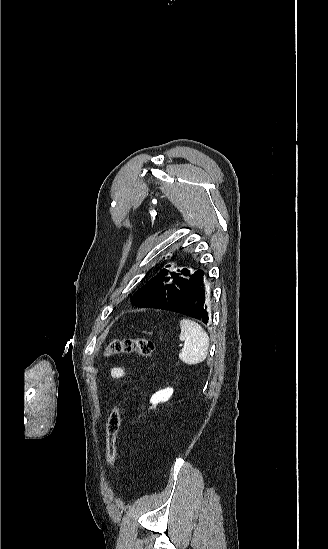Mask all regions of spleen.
I'll use <instances>...</instances> for the list:
<instances>
[{
  "mask_svg": "<svg viewBox=\"0 0 328 549\" xmlns=\"http://www.w3.org/2000/svg\"><path fill=\"white\" fill-rule=\"evenodd\" d=\"M181 333L180 341H184L185 345L179 353V359L186 365H197L202 363L207 357L209 347V337L202 329L201 325L189 319L180 321Z\"/></svg>",
  "mask_w": 328,
  "mask_h": 549,
  "instance_id": "spleen-1",
  "label": "spleen"
}]
</instances>
